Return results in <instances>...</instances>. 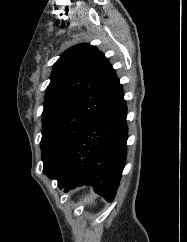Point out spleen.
I'll use <instances>...</instances> for the list:
<instances>
[{
	"label": "spleen",
	"mask_w": 187,
	"mask_h": 242,
	"mask_svg": "<svg viewBox=\"0 0 187 242\" xmlns=\"http://www.w3.org/2000/svg\"><path fill=\"white\" fill-rule=\"evenodd\" d=\"M95 199H96V195L92 194V195L85 196L83 201L84 203L92 205L93 203L95 204Z\"/></svg>",
	"instance_id": "3e777b00"
}]
</instances>
